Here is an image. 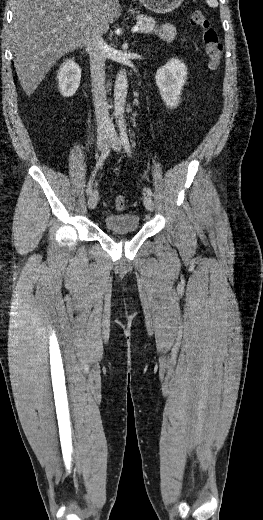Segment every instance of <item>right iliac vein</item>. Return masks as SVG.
I'll list each match as a JSON object with an SVG mask.
<instances>
[{
    "mask_svg": "<svg viewBox=\"0 0 263 520\" xmlns=\"http://www.w3.org/2000/svg\"><path fill=\"white\" fill-rule=\"evenodd\" d=\"M110 133L108 131H100L97 137V147L99 150L103 151L107 145V141ZM98 202V193L96 190L91 192L88 198V207L90 209H94Z\"/></svg>",
    "mask_w": 263,
    "mask_h": 520,
    "instance_id": "1",
    "label": "right iliac vein"
}]
</instances>
